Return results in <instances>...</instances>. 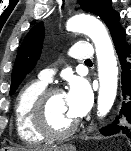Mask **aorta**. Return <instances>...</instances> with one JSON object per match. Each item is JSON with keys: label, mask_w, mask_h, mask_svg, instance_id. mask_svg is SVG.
I'll use <instances>...</instances> for the list:
<instances>
[{"label": "aorta", "mask_w": 131, "mask_h": 151, "mask_svg": "<svg viewBox=\"0 0 131 151\" xmlns=\"http://www.w3.org/2000/svg\"><path fill=\"white\" fill-rule=\"evenodd\" d=\"M67 29L88 35L95 45L100 85L97 115L104 117L114 104L118 86V67L112 41L102 22L90 15L73 16L67 22Z\"/></svg>", "instance_id": "762f6f07"}]
</instances>
